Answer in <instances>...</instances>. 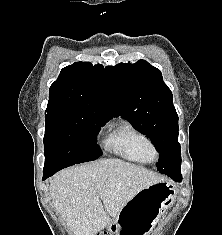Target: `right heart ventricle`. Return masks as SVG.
I'll use <instances>...</instances> for the list:
<instances>
[{"mask_svg":"<svg viewBox=\"0 0 222 235\" xmlns=\"http://www.w3.org/2000/svg\"><path fill=\"white\" fill-rule=\"evenodd\" d=\"M106 149L115 156L138 165L151 162V139L129 121H122L110 131L104 141Z\"/></svg>","mask_w":222,"mask_h":235,"instance_id":"obj_1","label":"right heart ventricle"}]
</instances>
